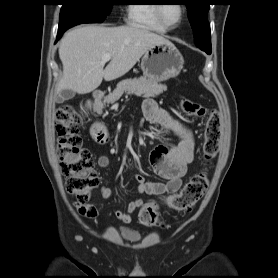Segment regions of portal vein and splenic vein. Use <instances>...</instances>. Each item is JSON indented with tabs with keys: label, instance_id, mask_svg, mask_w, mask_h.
Segmentation results:
<instances>
[{
	"label": "portal vein and splenic vein",
	"instance_id": "obj_1",
	"mask_svg": "<svg viewBox=\"0 0 278 278\" xmlns=\"http://www.w3.org/2000/svg\"><path fill=\"white\" fill-rule=\"evenodd\" d=\"M110 59H111V54H105V55L102 57V63H106V62H108Z\"/></svg>",
	"mask_w": 278,
	"mask_h": 278
}]
</instances>
